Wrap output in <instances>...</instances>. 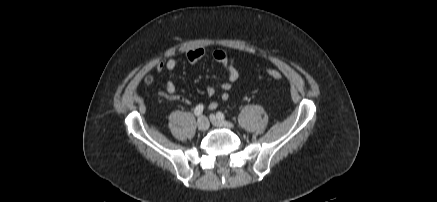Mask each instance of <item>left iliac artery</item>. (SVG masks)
Returning a JSON list of instances; mask_svg holds the SVG:
<instances>
[{
  "label": "left iliac artery",
  "mask_w": 437,
  "mask_h": 202,
  "mask_svg": "<svg viewBox=\"0 0 437 202\" xmlns=\"http://www.w3.org/2000/svg\"><path fill=\"white\" fill-rule=\"evenodd\" d=\"M217 117L219 118V119H224L225 118V116H224V114L222 113V112H217Z\"/></svg>",
  "instance_id": "obj_1"
}]
</instances>
